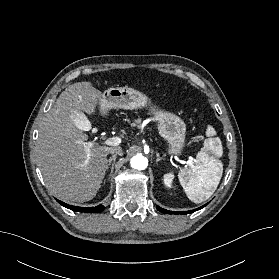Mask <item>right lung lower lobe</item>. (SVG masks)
Returning a JSON list of instances; mask_svg holds the SVG:
<instances>
[{"instance_id": "98d812e1", "label": "right lung lower lobe", "mask_w": 279, "mask_h": 279, "mask_svg": "<svg viewBox=\"0 0 279 279\" xmlns=\"http://www.w3.org/2000/svg\"><path fill=\"white\" fill-rule=\"evenodd\" d=\"M57 200V199H56ZM57 202L59 204H61L62 206L66 207V208H69L73 211H78V212H89V213H95V212H101L104 210V206L102 205H98L96 207H78V206H72V205H68L60 200H57Z\"/></svg>"}]
</instances>
